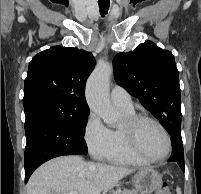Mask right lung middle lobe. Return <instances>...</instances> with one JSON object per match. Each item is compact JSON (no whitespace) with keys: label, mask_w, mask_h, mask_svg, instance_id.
I'll return each mask as SVG.
<instances>
[{"label":"right lung middle lobe","mask_w":201,"mask_h":194,"mask_svg":"<svg viewBox=\"0 0 201 194\" xmlns=\"http://www.w3.org/2000/svg\"><path fill=\"white\" fill-rule=\"evenodd\" d=\"M25 115L31 112L47 114L71 127L80 136H84L89 110L56 97H41L24 103Z\"/></svg>","instance_id":"1"}]
</instances>
